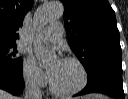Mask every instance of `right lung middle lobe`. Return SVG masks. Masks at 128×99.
Wrapping results in <instances>:
<instances>
[{
    "instance_id": "1",
    "label": "right lung middle lobe",
    "mask_w": 128,
    "mask_h": 99,
    "mask_svg": "<svg viewBox=\"0 0 128 99\" xmlns=\"http://www.w3.org/2000/svg\"><path fill=\"white\" fill-rule=\"evenodd\" d=\"M16 44H0V72L17 76L22 73V59L17 57Z\"/></svg>"
}]
</instances>
